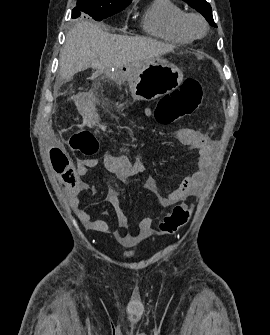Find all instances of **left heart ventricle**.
<instances>
[{"mask_svg":"<svg viewBox=\"0 0 270 335\" xmlns=\"http://www.w3.org/2000/svg\"><path fill=\"white\" fill-rule=\"evenodd\" d=\"M192 28L196 34H202L203 25L199 21H192Z\"/></svg>","mask_w":270,"mask_h":335,"instance_id":"left-heart-ventricle-1","label":"left heart ventricle"}]
</instances>
